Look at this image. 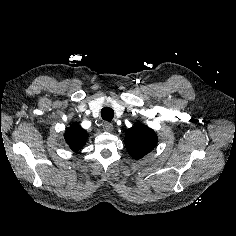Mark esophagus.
I'll use <instances>...</instances> for the list:
<instances>
[{
    "mask_svg": "<svg viewBox=\"0 0 236 236\" xmlns=\"http://www.w3.org/2000/svg\"><path fill=\"white\" fill-rule=\"evenodd\" d=\"M104 131L111 132L113 130V125L110 122L103 123Z\"/></svg>",
    "mask_w": 236,
    "mask_h": 236,
    "instance_id": "obj_1",
    "label": "esophagus"
}]
</instances>
